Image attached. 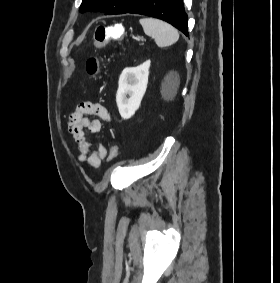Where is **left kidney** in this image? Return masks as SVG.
<instances>
[{
	"label": "left kidney",
	"instance_id": "left-kidney-1",
	"mask_svg": "<svg viewBox=\"0 0 280 283\" xmlns=\"http://www.w3.org/2000/svg\"><path fill=\"white\" fill-rule=\"evenodd\" d=\"M150 60L137 67L125 68L119 78L116 102L123 119L131 118L146 92Z\"/></svg>",
	"mask_w": 280,
	"mask_h": 283
}]
</instances>
